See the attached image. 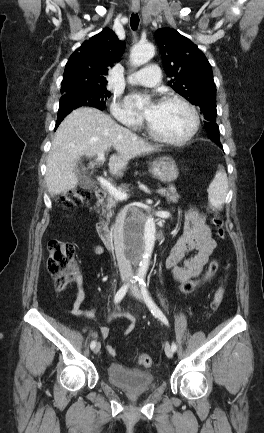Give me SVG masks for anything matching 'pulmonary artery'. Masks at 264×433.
Masks as SVG:
<instances>
[{"instance_id": "1", "label": "pulmonary artery", "mask_w": 264, "mask_h": 433, "mask_svg": "<svg viewBox=\"0 0 264 433\" xmlns=\"http://www.w3.org/2000/svg\"><path fill=\"white\" fill-rule=\"evenodd\" d=\"M160 74L159 67L155 64H151L133 73L129 77V82L146 87H153L160 82Z\"/></svg>"}]
</instances>
